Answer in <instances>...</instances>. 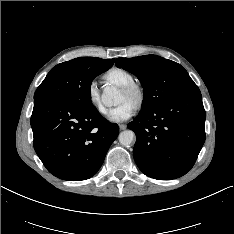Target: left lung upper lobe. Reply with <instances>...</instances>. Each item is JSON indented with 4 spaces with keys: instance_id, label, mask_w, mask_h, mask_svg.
Instances as JSON below:
<instances>
[{
    "instance_id": "left-lung-upper-lobe-1",
    "label": "left lung upper lobe",
    "mask_w": 234,
    "mask_h": 234,
    "mask_svg": "<svg viewBox=\"0 0 234 234\" xmlns=\"http://www.w3.org/2000/svg\"><path fill=\"white\" fill-rule=\"evenodd\" d=\"M116 66L136 75L143 86L144 99L139 114H145L167 99L196 86L180 64L160 56L117 58Z\"/></svg>"
}]
</instances>
